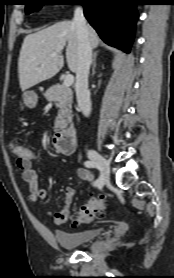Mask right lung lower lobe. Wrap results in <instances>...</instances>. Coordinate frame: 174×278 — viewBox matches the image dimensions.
<instances>
[{"label":"right lung lower lobe","mask_w":174,"mask_h":278,"mask_svg":"<svg viewBox=\"0 0 174 278\" xmlns=\"http://www.w3.org/2000/svg\"><path fill=\"white\" fill-rule=\"evenodd\" d=\"M84 15L103 41L130 52L138 17L135 0H79Z\"/></svg>","instance_id":"1"}]
</instances>
